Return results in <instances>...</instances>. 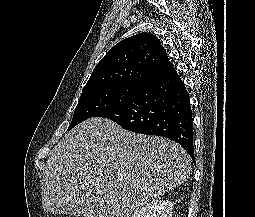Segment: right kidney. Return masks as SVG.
<instances>
[{
  "label": "right kidney",
  "instance_id": "ca27d5eb",
  "mask_svg": "<svg viewBox=\"0 0 255 217\" xmlns=\"http://www.w3.org/2000/svg\"><path fill=\"white\" fill-rule=\"evenodd\" d=\"M174 203L169 199L152 200L134 212L132 217H172Z\"/></svg>",
  "mask_w": 255,
  "mask_h": 217
}]
</instances>
